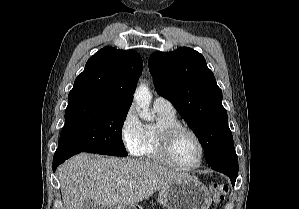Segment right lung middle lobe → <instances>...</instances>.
I'll return each mask as SVG.
<instances>
[{"label":"right lung middle lobe","mask_w":299,"mask_h":209,"mask_svg":"<svg viewBox=\"0 0 299 209\" xmlns=\"http://www.w3.org/2000/svg\"><path fill=\"white\" fill-rule=\"evenodd\" d=\"M129 108L67 106L58 149L127 156L122 127Z\"/></svg>","instance_id":"dd1d6c3e"}]
</instances>
